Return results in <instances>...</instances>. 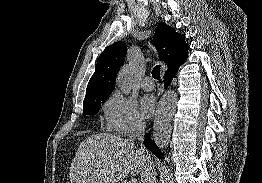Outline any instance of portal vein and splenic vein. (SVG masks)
<instances>
[{"mask_svg":"<svg viewBox=\"0 0 262 183\" xmlns=\"http://www.w3.org/2000/svg\"><path fill=\"white\" fill-rule=\"evenodd\" d=\"M129 183H136V180L132 179L131 181H129Z\"/></svg>","mask_w":262,"mask_h":183,"instance_id":"obj_1","label":"portal vein and splenic vein"}]
</instances>
